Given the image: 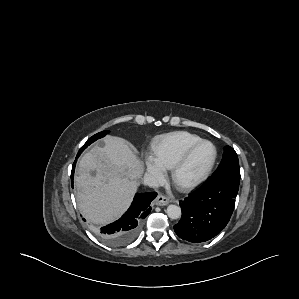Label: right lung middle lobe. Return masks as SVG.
<instances>
[{"label":"right lung middle lobe","mask_w":299,"mask_h":299,"mask_svg":"<svg viewBox=\"0 0 299 299\" xmlns=\"http://www.w3.org/2000/svg\"><path fill=\"white\" fill-rule=\"evenodd\" d=\"M109 131H103V132H99L95 135H93L91 138H89L87 140V142L82 146V148L80 149V151L82 152L88 145H90L91 143H93L94 141H96L99 138L104 137Z\"/></svg>","instance_id":"dd1d6c3e"}]
</instances>
